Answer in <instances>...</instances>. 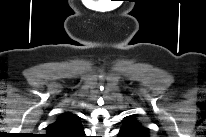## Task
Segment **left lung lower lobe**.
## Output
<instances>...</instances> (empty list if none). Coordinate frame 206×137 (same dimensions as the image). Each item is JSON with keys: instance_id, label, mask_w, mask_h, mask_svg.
I'll list each match as a JSON object with an SVG mask.
<instances>
[{"instance_id": "left-lung-lower-lobe-1", "label": "left lung lower lobe", "mask_w": 206, "mask_h": 137, "mask_svg": "<svg viewBox=\"0 0 206 137\" xmlns=\"http://www.w3.org/2000/svg\"><path fill=\"white\" fill-rule=\"evenodd\" d=\"M119 137H142V136L134 131L121 128L119 132Z\"/></svg>"}]
</instances>
